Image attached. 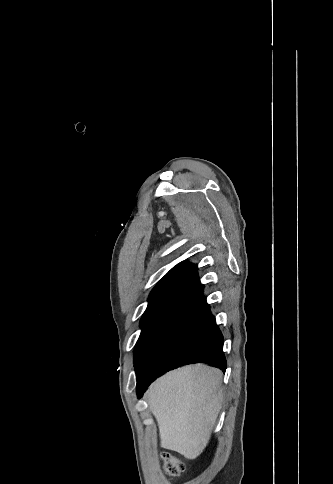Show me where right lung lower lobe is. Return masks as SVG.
<instances>
[{"mask_svg": "<svg viewBox=\"0 0 333 484\" xmlns=\"http://www.w3.org/2000/svg\"><path fill=\"white\" fill-rule=\"evenodd\" d=\"M202 291L198 279L157 305L135 368L138 398L157 377L181 365L201 362L226 370L223 336Z\"/></svg>", "mask_w": 333, "mask_h": 484, "instance_id": "obj_1", "label": "right lung lower lobe"}]
</instances>
